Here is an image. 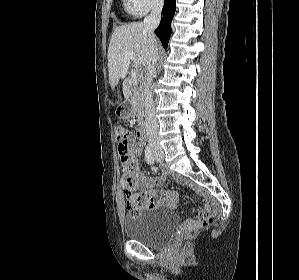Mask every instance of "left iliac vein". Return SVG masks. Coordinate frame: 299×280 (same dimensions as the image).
<instances>
[{
  "mask_svg": "<svg viewBox=\"0 0 299 280\" xmlns=\"http://www.w3.org/2000/svg\"><path fill=\"white\" fill-rule=\"evenodd\" d=\"M155 160L157 162H162L164 160V154L160 150L155 152Z\"/></svg>",
  "mask_w": 299,
  "mask_h": 280,
  "instance_id": "obj_1",
  "label": "left iliac vein"
}]
</instances>
